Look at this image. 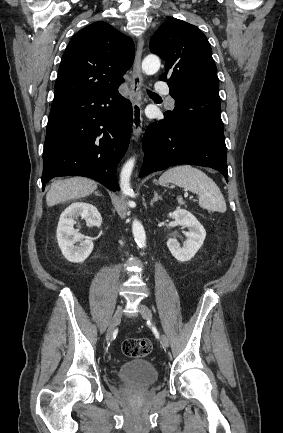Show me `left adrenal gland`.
I'll return each instance as SVG.
<instances>
[{"label":"left adrenal gland","instance_id":"obj_1","mask_svg":"<svg viewBox=\"0 0 283 433\" xmlns=\"http://www.w3.org/2000/svg\"><path fill=\"white\" fill-rule=\"evenodd\" d=\"M156 200H162V196H158L157 190H155V192H154V198H152V200H151L152 206H153V202H156Z\"/></svg>","mask_w":283,"mask_h":433}]
</instances>
